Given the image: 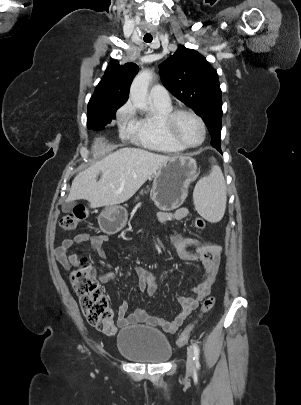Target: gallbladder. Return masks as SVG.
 <instances>
[{"label":"gallbladder","instance_id":"obj_1","mask_svg":"<svg viewBox=\"0 0 301 405\" xmlns=\"http://www.w3.org/2000/svg\"><path fill=\"white\" fill-rule=\"evenodd\" d=\"M75 206H76V202H75V201H68V202H65V203H63V205H62V212H64V213H69V212H71V211L74 209Z\"/></svg>","mask_w":301,"mask_h":405}]
</instances>
